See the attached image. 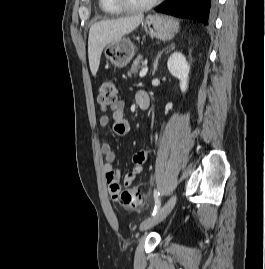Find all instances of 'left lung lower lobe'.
Wrapping results in <instances>:
<instances>
[{
	"label": "left lung lower lobe",
	"instance_id": "1",
	"mask_svg": "<svg viewBox=\"0 0 265 269\" xmlns=\"http://www.w3.org/2000/svg\"><path fill=\"white\" fill-rule=\"evenodd\" d=\"M216 9L217 0H169L156 11L209 25L214 18Z\"/></svg>",
	"mask_w": 265,
	"mask_h": 269
}]
</instances>
